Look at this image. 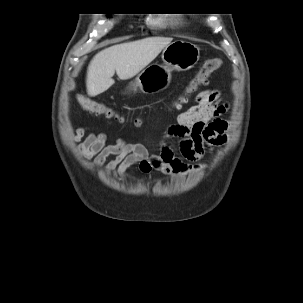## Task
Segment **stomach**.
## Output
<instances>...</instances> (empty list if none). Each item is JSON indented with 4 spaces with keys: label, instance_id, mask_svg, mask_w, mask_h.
<instances>
[{
    "label": "stomach",
    "instance_id": "0dacf381",
    "mask_svg": "<svg viewBox=\"0 0 303 303\" xmlns=\"http://www.w3.org/2000/svg\"><path fill=\"white\" fill-rule=\"evenodd\" d=\"M199 58L200 49L197 45L185 40H175L163 49V65L154 64L145 68L130 83V89H138L146 94L163 91L171 83L173 70H189Z\"/></svg>",
    "mask_w": 303,
    "mask_h": 303
}]
</instances>
